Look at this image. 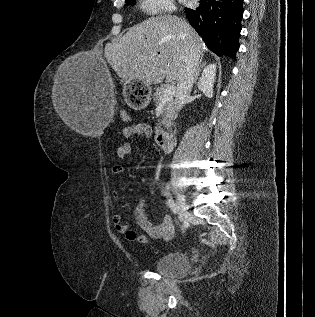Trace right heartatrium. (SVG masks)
<instances>
[{
	"mask_svg": "<svg viewBox=\"0 0 315 317\" xmlns=\"http://www.w3.org/2000/svg\"><path fill=\"white\" fill-rule=\"evenodd\" d=\"M141 8L150 15L171 12L175 9L174 0H140Z\"/></svg>",
	"mask_w": 315,
	"mask_h": 317,
	"instance_id": "right-heart-atrium-1",
	"label": "right heart atrium"
}]
</instances>
